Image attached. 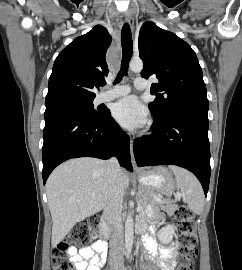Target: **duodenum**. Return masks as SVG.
<instances>
[{
  "label": "duodenum",
  "instance_id": "1",
  "mask_svg": "<svg viewBox=\"0 0 242 270\" xmlns=\"http://www.w3.org/2000/svg\"><path fill=\"white\" fill-rule=\"evenodd\" d=\"M110 217L108 212H105L103 216L101 217L100 222V236L102 239V242L104 244L102 251L105 253L106 251V241L110 239V229L108 226V218Z\"/></svg>",
  "mask_w": 242,
  "mask_h": 270
}]
</instances>
